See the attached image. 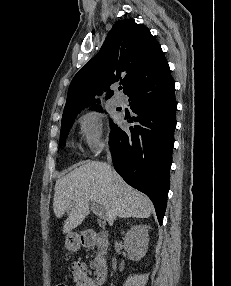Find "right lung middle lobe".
<instances>
[{
	"label": "right lung middle lobe",
	"mask_w": 231,
	"mask_h": 286,
	"mask_svg": "<svg viewBox=\"0 0 231 286\" xmlns=\"http://www.w3.org/2000/svg\"><path fill=\"white\" fill-rule=\"evenodd\" d=\"M92 108L100 110V106L99 105H95ZM80 111L81 110L73 112V113H70V114H67V115L62 117L61 143L63 142L64 145H65V140H66V137L68 135V132H69V130H70V128H71V126H72V124H73L77 114Z\"/></svg>",
	"instance_id": "obj_1"
}]
</instances>
